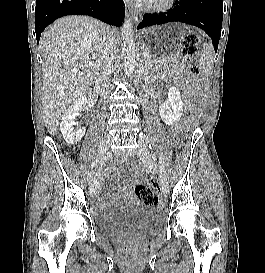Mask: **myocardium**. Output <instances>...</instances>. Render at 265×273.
I'll use <instances>...</instances> for the list:
<instances>
[{"mask_svg": "<svg viewBox=\"0 0 265 273\" xmlns=\"http://www.w3.org/2000/svg\"><path fill=\"white\" fill-rule=\"evenodd\" d=\"M176 0L147 1L145 8L153 12H164L174 6Z\"/></svg>", "mask_w": 265, "mask_h": 273, "instance_id": "1", "label": "myocardium"}]
</instances>
